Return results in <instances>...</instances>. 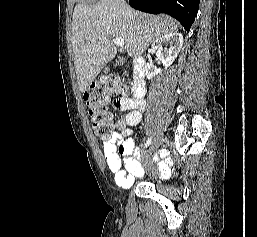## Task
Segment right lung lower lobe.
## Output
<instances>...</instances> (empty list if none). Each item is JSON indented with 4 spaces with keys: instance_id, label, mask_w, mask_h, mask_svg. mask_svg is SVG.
<instances>
[{
    "instance_id": "1",
    "label": "right lung lower lobe",
    "mask_w": 257,
    "mask_h": 237,
    "mask_svg": "<svg viewBox=\"0 0 257 237\" xmlns=\"http://www.w3.org/2000/svg\"><path fill=\"white\" fill-rule=\"evenodd\" d=\"M200 0H129L131 7L152 14L165 13L177 19L190 31Z\"/></svg>"
}]
</instances>
